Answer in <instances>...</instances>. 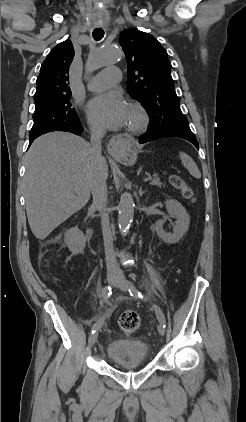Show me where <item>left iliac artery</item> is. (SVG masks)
I'll return each instance as SVG.
<instances>
[{"mask_svg":"<svg viewBox=\"0 0 246 422\" xmlns=\"http://www.w3.org/2000/svg\"><path fill=\"white\" fill-rule=\"evenodd\" d=\"M129 293L134 298H141V299L144 298L143 294L140 291H138L134 286H130ZM155 313H156V317L158 321L162 323L165 327V323H166L165 316L162 310L156 305H155Z\"/></svg>","mask_w":246,"mask_h":422,"instance_id":"obj_1","label":"left iliac artery"}]
</instances>
